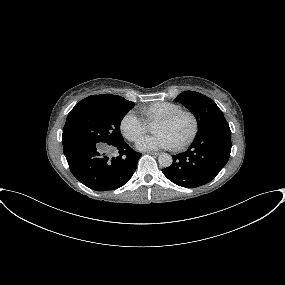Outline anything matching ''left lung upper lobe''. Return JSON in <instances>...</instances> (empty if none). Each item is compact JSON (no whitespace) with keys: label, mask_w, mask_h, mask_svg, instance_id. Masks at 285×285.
<instances>
[{"label":"left lung upper lobe","mask_w":285,"mask_h":285,"mask_svg":"<svg viewBox=\"0 0 285 285\" xmlns=\"http://www.w3.org/2000/svg\"><path fill=\"white\" fill-rule=\"evenodd\" d=\"M175 101L182 103L196 117L198 133L209 129H230L219 107L209 97L194 91H185Z\"/></svg>","instance_id":"obj_1"}]
</instances>
